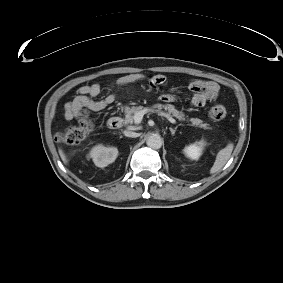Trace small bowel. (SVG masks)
<instances>
[{
	"instance_id": "small-bowel-1",
	"label": "small bowel",
	"mask_w": 283,
	"mask_h": 283,
	"mask_svg": "<svg viewBox=\"0 0 283 283\" xmlns=\"http://www.w3.org/2000/svg\"><path fill=\"white\" fill-rule=\"evenodd\" d=\"M145 79L142 73H130L119 78L118 87H127ZM165 78L161 75L154 76L150 83L154 86L162 85ZM190 89L193 91L191 104L194 107H202L207 102L214 100L219 92V85L214 81L202 82L199 80L190 83ZM101 87L98 83L86 84L79 87L74 98L67 102L64 107V117L66 120H72L79 117L82 109L91 111H100L114 103L116 100L115 92L109 93L102 99H96L100 94ZM162 101L171 103L176 100L173 94H164Z\"/></svg>"
}]
</instances>
